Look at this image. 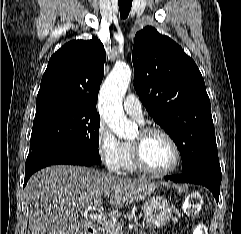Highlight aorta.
Returning <instances> with one entry per match:
<instances>
[{"mask_svg": "<svg viewBox=\"0 0 241 234\" xmlns=\"http://www.w3.org/2000/svg\"><path fill=\"white\" fill-rule=\"evenodd\" d=\"M132 71L128 65L114 66L104 81L99 94V111L102 119L119 138H130L135 135L136 124L129 121L122 108Z\"/></svg>", "mask_w": 241, "mask_h": 234, "instance_id": "762f6f07", "label": "aorta"}]
</instances>
